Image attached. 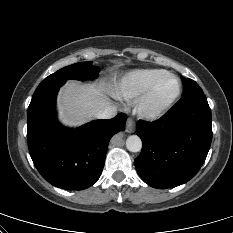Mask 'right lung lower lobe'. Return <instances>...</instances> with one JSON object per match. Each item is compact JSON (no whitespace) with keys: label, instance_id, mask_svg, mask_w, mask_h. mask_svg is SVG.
I'll list each match as a JSON object with an SVG mask.
<instances>
[{"label":"right lung lower lobe","instance_id":"obj_1","mask_svg":"<svg viewBox=\"0 0 233 233\" xmlns=\"http://www.w3.org/2000/svg\"><path fill=\"white\" fill-rule=\"evenodd\" d=\"M57 91L32 97L27 111L29 152L35 167L50 184L83 190L99 179L109 141L125 130L127 116L119 113L75 130L63 128L54 111Z\"/></svg>","mask_w":233,"mask_h":233}]
</instances>
